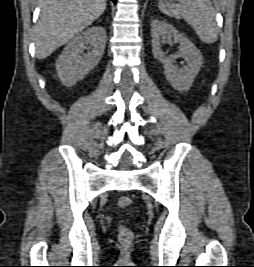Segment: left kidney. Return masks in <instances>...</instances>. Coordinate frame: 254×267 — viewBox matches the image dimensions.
Instances as JSON below:
<instances>
[{
    "label": "left kidney",
    "instance_id": "obj_1",
    "mask_svg": "<svg viewBox=\"0 0 254 267\" xmlns=\"http://www.w3.org/2000/svg\"><path fill=\"white\" fill-rule=\"evenodd\" d=\"M151 32L152 53L154 58L163 63L167 81L180 92L188 91L202 65V55L199 49L175 27L164 21L153 20ZM166 38H172L174 42L180 44L176 54L167 56L163 52L162 44L165 43ZM178 57L183 58L187 63L182 68L174 65Z\"/></svg>",
    "mask_w": 254,
    "mask_h": 267
}]
</instances>
